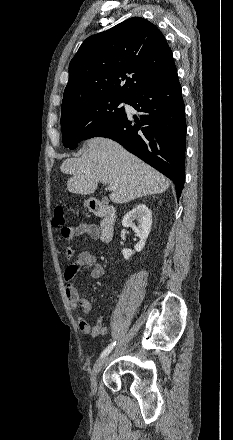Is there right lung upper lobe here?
Returning <instances> with one entry per match:
<instances>
[{
	"label": "right lung upper lobe",
	"mask_w": 233,
	"mask_h": 440,
	"mask_svg": "<svg viewBox=\"0 0 233 440\" xmlns=\"http://www.w3.org/2000/svg\"><path fill=\"white\" fill-rule=\"evenodd\" d=\"M175 68L160 30L143 18L128 19L80 46L69 64L62 108L94 98L129 99Z\"/></svg>",
	"instance_id": "right-lung-upper-lobe-1"
}]
</instances>
